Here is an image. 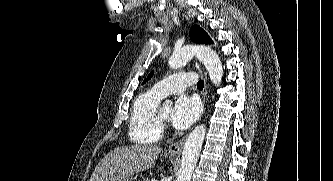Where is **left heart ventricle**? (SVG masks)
Instances as JSON below:
<instances>
[{"instance_id":"obj_1","label":"left heart ventricle","mask_w":333,"mask_h":181,"mask_svg":"<svg viewBox=\"0 0 333 181\" xmlns=\"http://www.w3.org/2000/svg\"><path fill=\"white\" fill-rule=\"evenodd\" d=\"M172 108L170 106H162L160 109L161 117L164 120H168L171 116Z\"/></svg>"}]
</instances>
